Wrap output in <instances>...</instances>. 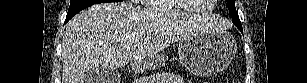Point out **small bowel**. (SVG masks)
I'll return each mask as SVG.
<instances>
[{
  "label": "small bowel",
  "mask_w": 307,
  "mask_h": 83,
  "mask_svg": "<svg viewBox=\"0 0 307 83\" xmlns=\"http://www.w3.org/2000/svg\"><path fill=\"white\" fill-rule=\"evenodd\" d=\"M158 83H183V80L179 75L167 73L161 76Z\"/></svg>",
  "instance_id": "c3829d8e"
}]
</instances>
